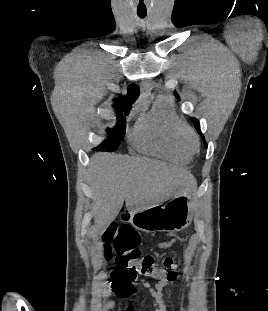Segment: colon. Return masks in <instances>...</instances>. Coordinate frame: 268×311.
<instances>
[{
	"instance_id": "colon-1",
	"label": "colon",
	"mask_w": 268,
	"mask_h": 311,
	"mask_svg": "<svg viewBox=\"0 0 268 311\" xmlns=\"http://www.w3.org/2000/svg\"><path fill=\"white\" fill-rule=\"evenodd\" d=\"M104 256L114 259L116 267L111 271L113 290L121 297L136 292L134 282L138 277L171 279L177 276L179 262L164 259L160 267L153 255L139 250L140 236L131 227L111 224L103 233Z\"/></svg>"
}]
</instances>
